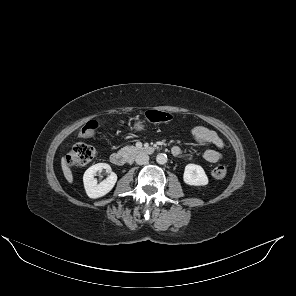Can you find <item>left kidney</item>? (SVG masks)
<instances>
[{
    "instance_id": "obj_1",
    "label": "left kidney",
    "mask_w": 296,
    "mask_h": 296,
    "mask_svg": "<svg viewBox=\"0 0 296 296\" xmlns=\"http://www.w3.org/2000/svg\"><path fill=\"white\" fill-rule=\"evenodd\" d=\"M183 180L191 186H205L208 184V177L204 169L196 164L186 165Z\"/></svg>"
}]
</instances>
